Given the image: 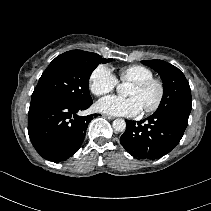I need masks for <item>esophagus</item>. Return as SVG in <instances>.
<instances>
[{"mask_svg":"<svg viewBox=\"0 0 211 211\" xmlns=\"http://www.w3.org/2000/svg\"><path fill=\"white\" fill-rule=\"evenodd\" d=\"M103 117L109 119V120H112L114 119L115 117L111 116V115H107V114H103Z\"/></svg>","mask_w":211,"mask_h":211,"instance_id":"1","label":"esophagus"}]
</instances>
